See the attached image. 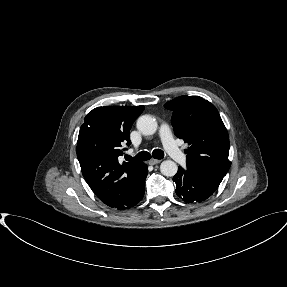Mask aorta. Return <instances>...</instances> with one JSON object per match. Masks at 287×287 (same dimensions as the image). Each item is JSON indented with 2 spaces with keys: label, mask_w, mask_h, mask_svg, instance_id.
Instances as JSON below:
<instances>
[{
  "label": "aorta",
  "mask_w": 287,
  "mask_h": 287,
  "mask_svg": "<svg viewBox=\"0 0 287 287\" xmlns=\"http://www.w3.org/2000/svg\"><path fill=\"white\" fill-rule=\"evenodd\" d=\"M137 129L144 135H152L157 130V121L151 115H142L137 120ZM160 171L164 176L173 177L178 171L177 164L172 160H165L160 165Z\"/></svg>",
  "instance_id": "aorta-1"
}]
</instances>
